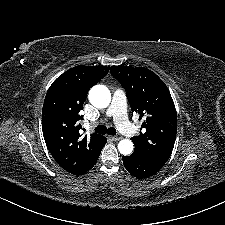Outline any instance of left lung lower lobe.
<instances>
[{
  "label": "left lung lower lobe",
  "instance_id": "0a47b994",
  "mask_svg": "<svg viewBox=\"0 0 225 225\" xmlns=\"http://www.w3.org/2000/svg\"><path fill=\"white\" fill-rule=\"evenodd\" d=\"M123 163L128 172L138 179L155 175L164 165L134 152L130 156H123Z\"/></svg>",
  "mask_w": 225,
  "mask_h": 225
}]
</instances>
